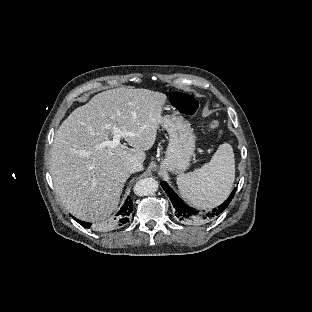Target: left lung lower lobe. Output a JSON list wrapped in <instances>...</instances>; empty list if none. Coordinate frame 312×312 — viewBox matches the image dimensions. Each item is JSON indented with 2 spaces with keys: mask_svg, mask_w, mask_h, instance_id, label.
<instances>
[{
  "mask_svg": "<svg viewBox=\"0 0 312 312\" xmlns=\"http://www.w3.org/2000/svg\"><path fill=\"white\" fill-rule=\"evenodd\" d=\"M161 186L166 191L167 195L170 197V200L175 207V216L179 221L187 222V223H193V224H200L203 222H207L216 216H218L222 211L227 208L229 203L234 197V194L236 192V188L231 193L230 197L218 208L213 209L211 212L207 213H200L199 211H196L194 208L186 205L174 192L173 190L168 186L166 182H161Z\"/></svg>",
  "mask_w": 312,
  "mask_h": 312,
  "instance_id": "0a47b994",
  "label": "left lung lower lobe"
}]
</instances>
